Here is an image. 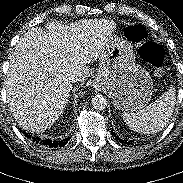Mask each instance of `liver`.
Here are the masks:
<instances>
[{
  "mask_svg": "<svg viewBox=\"0 0 183 183\" xmlns=\"http://www.w3.org/2000/svg\"><path fill=\"white\" fill-rule=\"evenodd\" d=\"M31 28L16 43L7 72V102L19 126L33 132L48 129L63 112L77 72L83 81L86 64L96 61L116 23L84 19L68 25L50 22Z\"/></svg>",
  "mask_w": 183,
  "mask_h": 183,
  "instance_id": "1",
  "label": "liver"
}]
</instances>
